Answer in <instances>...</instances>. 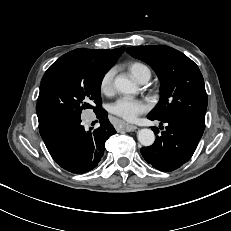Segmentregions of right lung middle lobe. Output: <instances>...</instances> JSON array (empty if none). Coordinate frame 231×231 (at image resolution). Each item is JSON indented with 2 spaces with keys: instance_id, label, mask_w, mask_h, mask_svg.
Wrapping results in <instances>:
<instances>
[{
  "instance_id": "right-lung-middle-lobe-1",
  "label": "right lung middle lobe",
  "mask_w": 231,
  "mask_h": 231,
  "mask_svg": "<svg viewBox=\"0 0 231 231\" xmlns=\"http://www.w3.org/2000/svg\"><path fill=\"white\" fill-rule=\"evenodd\" d=\"M110 68L78 51L60 57L41 80L36 105L38 119L49 124L78 119L83 109L100 110L101 82Z\"/></svg>"
}]
</instances>
